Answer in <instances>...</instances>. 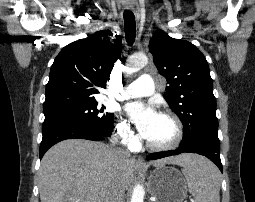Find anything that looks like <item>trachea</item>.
Here are the masks:
<instances>
[{
  "label": "trachea",
  "mask_w": 255,
  "mask_h": 202,
  "mask_svg": "<svg viewBox=\"0 0 255 202\" xmlns=\"http://www.w3.org/2000/svg\"><path fill=\"white\" fill-rule=\"evenodd\" d=\"M125 38L129 45H132L136 37V24L133 12L124 11Z\"/></svg>",
  "instance_id": "3493384b"
}]
</instances>
